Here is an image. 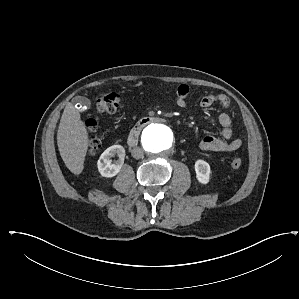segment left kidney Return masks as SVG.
Wrapping results in <instances>:
<instances>
[{
  "label": "left kidney",
  "instance_id": "obj_1",
  "mask_svg": "<svg viewBox=\"0 0 299 299\" xmlns=\"http://www.w3.org/2000/svg\"><path fill=\"white\" fill-rule=\"evenodd\" d=\"M196 178L201 184H207L210 179V165L204 160H197L195 162Z\"/></svg>",
  "mask_w": 299,
  "mask_h": 299
}]
</instances>
